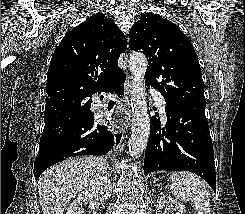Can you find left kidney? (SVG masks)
I'll return each instance as SVG.
<instances>
[{
    "mask_svg": "<svg viewBox=\"0 0 245 214\" xmlns=\"http://www.w3.org/2000/svg\"><path fill=\"white\" fill-rule=\"evenodd\" d=\"M168 206V207H167ZM185 214L183 205L168 195L160 197L156 214Z\"/></svg>",
    "mask_w": 245,
    "mask_h": 214,
    "instance_id": "obj_1",
    "label": "left kidney"
}]
</instances>
